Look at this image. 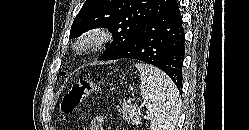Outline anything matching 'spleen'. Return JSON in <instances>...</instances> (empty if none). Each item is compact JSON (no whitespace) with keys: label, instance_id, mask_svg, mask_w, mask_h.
<instances>
[{"label":"spleen","instance_id":"1","mask_svg":"<svg viewBox=\"0 0 249 130\" xmlns=\"http://www.w3.org/2000/svg\"><path fill=\"white\" fill-rule=\"evenodd\" d=\"M135 67L141 75V96L148 109L151 130H175L181 99L174 82L154 66L136 63Z\"/></svg>","mask_w":249,"mask_h":130}]
</instances>
